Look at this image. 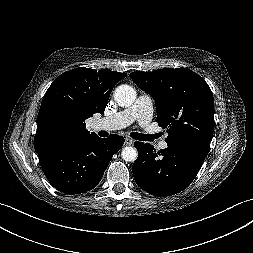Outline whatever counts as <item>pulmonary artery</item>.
<instances>
[{"label":"pulmonary artery","instance_id":"e3ab8cb5","mask_svg":"<svg viewBox=\"0 0 253 253\" xmlns=\"http://www.w3.org/2000/svg\"><path fill=\"white\" fill-rule=\"evenodd\" d=\"M153 114V102L148 95H141L130 107L96 123L98 128L121 129L137 121L141 126L150 123ZM159 149L168 147L167 141L162 139L157 144Z\"/></svg>","mask_w":253,"mask_h":253}]
</instances>
